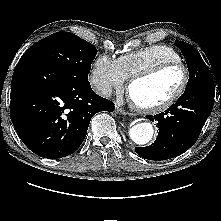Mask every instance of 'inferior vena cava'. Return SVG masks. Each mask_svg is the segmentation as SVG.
Returning <instances> with one entry per match:
<instances>
[{
  "label": "inferior vena cava",
  "instance_id": "obj_1",
  "mask_svg": "<svg viewBox=\"0 0 221 221\" xmlns=\"http://www.w3.org/2000/svg\"><path fill=\"white\" fill-rule=\"evenodd\" d=\"M99 94L105 97H110L112 94V87L110 85H102L99 89Z\"/></svg>",
  "mask_w": 221,
  "mask_h": 221
}]
</instances>
